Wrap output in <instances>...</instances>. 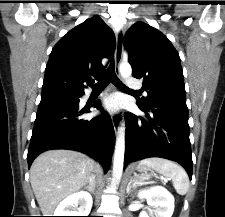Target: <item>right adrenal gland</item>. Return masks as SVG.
Here are the masks:
<instances>
[{"instance_id": "right-adrenal-gland-1", "label": "right adrenal gland", "mask_w": 225, "mask_h": 217, "mask_svg": "<svg viewBox=\"0 0 225 217\" xmlns=\"http://www.w3.org/2000/svg\"><path fill=\"white\" fill-rule=\"evenodd\" d=\"M84 189H87L90 192H94L95 190V183L94 182H89L87 186H84Z\"/></svg>"}]
</instances>
